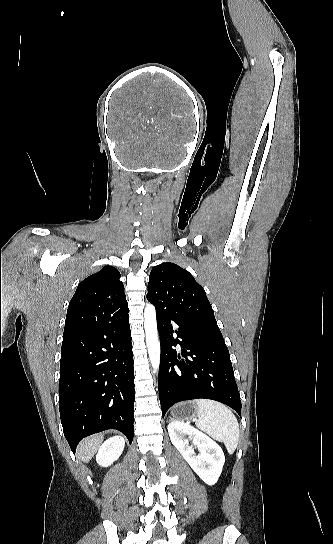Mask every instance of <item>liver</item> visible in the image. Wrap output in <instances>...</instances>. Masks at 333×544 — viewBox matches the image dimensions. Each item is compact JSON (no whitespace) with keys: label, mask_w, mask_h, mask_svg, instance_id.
<instances>
[{"label":"liver","mask_w":333,"mask_h":544,"mask_svg":"<svg viewBox=\"0 0 333 544\" xmlns=\"http://www.w3.org/2000/svg\"><path fill=\"white\" fill-rule=\"evenodd\" d=\"M103 440V435L98 434L86 438L78 445L77 457L83 462H89L90 459L97 452L101 442Z\"/></svg>","instance_id":"6515ba94"}]
</instances>
